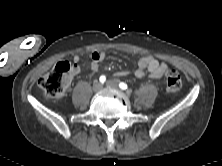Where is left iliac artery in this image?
I'll return each instance as SVG.
<instances>
[{
    "mask_svg": "<svg viewBox=\"0 0 222 166\" xmlns=\"http://www.w3.org/2000/svg\"><path fill=\"white\" fill-rule=\"evenodd\" d=\"M119 87L122 89V90H126L128 88L127 84L124 83V82H120L119 83Z\"/></svg>",
    "mask_w": 222,
    "mask_h": 166,
    "instance_id": "left-iliac-artery-1",
    "label": "left iliac artery"
}]
</instances>
